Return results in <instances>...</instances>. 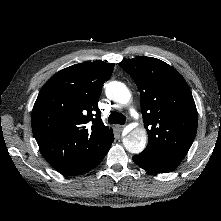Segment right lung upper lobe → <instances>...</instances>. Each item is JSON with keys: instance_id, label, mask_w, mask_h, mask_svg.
I'll use <instances>...</instances> for the list:
<instances>
[{"instance_id": "cb5924a9", "label": "right lung upper lobe", "mask_w": 221, "mask_h": 221, "mask_svg": "<svg viewBox=\"0 0 221 221\" xmlns=\"http://www.w3.org/2000/svg\"><path fill=\"white\" fill-rule=\"evenodd\" d=\"M113 68V63L72 65L53 75L37 97L31 118L33 135L47 161L63 174L90 164L114 140L98 109L103 83Z\"/></svg>"}]
</instances>
